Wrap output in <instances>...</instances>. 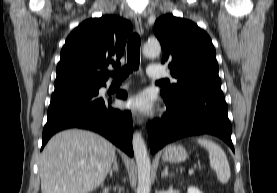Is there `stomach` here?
<instances>
[{
  "mask_svg": "<svg viewBox=\"0 0 277 193\" xmlns=\"http://www.w3.org/2000/svg\"><path fill=\"white\" fill-rule=\"evenodd\" d=\"M187 152L185 148L179 145L168 146L163 154V159L171 163H179L185 161Z\"/></svg>",
  "mask_w": 277,
  "mask_h": 193,
  "instance_id": "stomach-1",
  "label": "stomach"
}]
</instances>
